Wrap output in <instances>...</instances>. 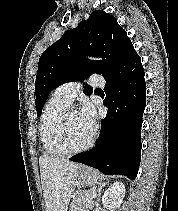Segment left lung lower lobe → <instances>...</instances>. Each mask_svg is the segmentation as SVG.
Segmentation results:
<instances>
[{"mask_svg":"<svg viewBox=\"0 0 178 211\" xmlns=\"http://www.w3.org/2000/svg\"><path fill=\"white\" fill-rule=\"evenodd\" d=\"M144 69L134 48L104 78L107 116L95 148L69 160L134 180L141 157L142 115L146 106Z\"/></svg>","mask_w":178,"mask_h":211,"instance_id":"1","label":"left lung lower lobe"}]
</instances>
